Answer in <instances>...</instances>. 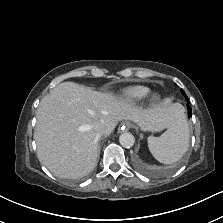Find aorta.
Segmentation results:
<instances>
[{
  "mask_svg": "<svg viewBox=\"0 0 223 223\" xmlns=\"http://www.w3.org/2000/svg\"><path fill=\"white\" fill-rule=\"evenodd\" d=\"M119 142L123 147L129 148L134 145L135 138L129 132H124L119 137Z\"/></svg>",
  "mask_w": 223,
  "mask_h": 223,
  "instance_id": "aorta-1",
  "label": "aorta"
}]
</instances>
